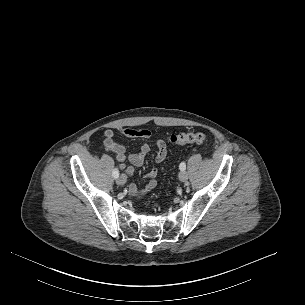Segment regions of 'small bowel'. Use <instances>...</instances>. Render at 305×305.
Wrapping results in <instances>:
<instances>
[{
    "instance_id": "small-bowel-1",
    "label": "small bowel",
    "mask_w": 305,
    "mask_h": 305,
    "mask_svg": "<svg viewBox=\"0 0 305 305\" xmlns=\"http://www.w3.org/2000/svg\"><path fill=\"white\" fill-rule=\"evenodd\" d=\"M120 134L129 138L142 139H148L151 136V132L147 129L132 128L122 129L120 130ZM115 138V132L111 129H107L104 132L103 144L106 149L114 153L116 160L120 162V167L125 170L128 175L133 176L134 168L127 166L126 160L134 167L142 166L146 156L150 152V146L147 143H143L138 151H127L123 145L116 142ZM155 146L157 148L155 161L156 163H162L167 156V144L164 140L159 139L155 142ZM157 174V168H151L146 174V177L150 179L147 185L142 189H138L134 183H131L129 185L130 194L135 198H141L144 194L154 189L157 184L155 180Z\"/></svg>"
}]
</instances>
